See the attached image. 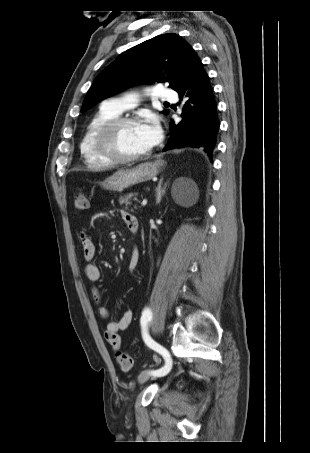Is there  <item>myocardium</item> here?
Here are the masks:
<instances>
[{
    "mask_svg": "<svg viewBox=\"0 0 310 453\" xmlns=\"http://www.w3.org/2000/svg\"><path fill=\"white\" fill-rule=\"evenodd\" d=\"M130 124H139V119L130 116H117L105 123L94 137V147L97 153L114 164H128L148 157L151 153L150 150L132 156H122L115 152L113 140L116 133L120 128Z\"/></svg>",
    "mask_w": 310,
    "mask_h": 453,
    "instance_id": "myocardium-1",
    "label": "myocardium"
}]
</instances>
